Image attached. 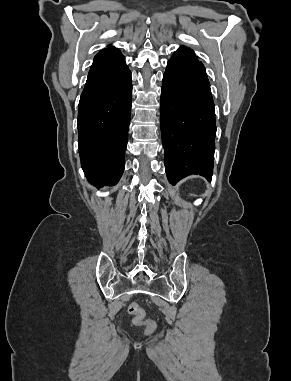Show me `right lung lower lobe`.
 <instances>
[{
	"instance_id": "98d812e1",
	"label": "right lung lower lobe",
	"mask_w": 291,
	"mask_h": 381,
	"mask_svg": "<svg viewBox=\"0 0 291 381\" xmlns=\"http://www.w3.org/2000/svg\"><path fill=\"white\" fill-rule=\"evenodd\" d=\"M132 82L125 58L108 47L94 58L78 110V148L82 169L100 187L118 183L124 170Z\"/></svg>"
}]
</instances>
